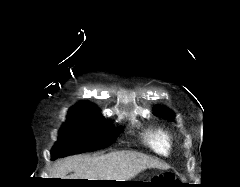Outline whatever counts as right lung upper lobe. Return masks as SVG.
Wrapping results in <instances>:
<instances>
[{"label":"right lung upper lobe","instance_id":"right-lung-upper-lobe-1","mask_svg":"<svg viewBox=\"0 0 240 187\" xmlns=\"http://www.w3.org/2000/svg\"><path fill=\"white\" fill-rule=\"evenodd\" d=\"M70 112H91V113H99L95 106L86 103H80V105L73 107Z\"/></svg>","mask_w":240,"mask_h":187}]
</instances>
